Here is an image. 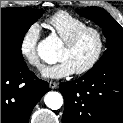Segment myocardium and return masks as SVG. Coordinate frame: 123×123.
I'll use <instances>...</instances> for the list:
<instances>
[{"label":"myocardium","instance_id":"f54148a6","mask_svg":"<svg viewBox=\"0 0 123 123\" xmlns=\"http://www.w3.org/2000/svg\"><path fill=\"white\" fill-rule=\"evenodd\" d=\"M87 33H93L96 36L98 45L96 52L93 58L90 60V62L84 67L75 71V73L78 75L85 74L91 71L97 65V63L102 57L105 48V37L99 28L93 26H86L75 31L73 34H71L67 39L63 41V45L67 48H70L73 47L77 43V41Z\"/></svg>","mask_w":123,"mask_h":123}]
</instances>
